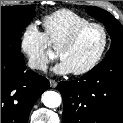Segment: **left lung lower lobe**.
<instances>
[{
    "mask_svg": "<svg viewBox=\"0 0 123 123\" xmlns=\"http://www.w3.org/2000/svg\"><path fill=\"white\" fill-rule=\"evenodd\" d=\"M63 123H123V54L104 59L78 80L60 82Z\"/></svg>",
    "mask_w": 123,
    "mask_h": 123,
    "instance_id": "obj_1",
    "label": "left lung lower lobe"
}]
</instances>
